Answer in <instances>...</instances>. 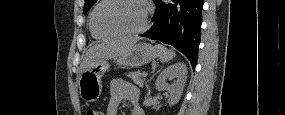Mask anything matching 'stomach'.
Segmentation results:
<instances>
[{
    "label": "stomach",
    "mask_w": 285,
    "mask_h": 115,
    "mask_svg": "<svg viewBox=\"0 0 285 115\" xmlns=\"http://www.w3.org/2000/svg\"><path fill=\"white\" fill-rule=\"evenodd\" d=\"M157 49L147 43L134 44L124 54L115 57L114 62L119 65L138 68L158 56ZM110 64L107 60L96 62L83 71L78 80L79 94L85 102H95L102 92L101 78L108 71Z\"/></svg>",
    "instance_id": "0dacf381"
}]
</instances>
